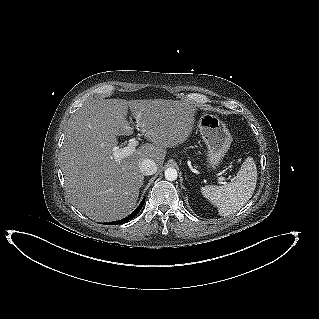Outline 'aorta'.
<instances>
[{
    "label": "aorta",
    "mask_w": 319,
    "mask_h": 319,
    "mask_svg": "<svg viewBox=\"0 0 319 319\" xmlns=\"http://www.w3.org/2000/svg\"><path fill=\"white\" fill-rule=\"evenodd\" d=\"M164 173L168 181H175L178 178L177 170L174 168H167Z\"/></svg>",
    "instance_id": "1"
}]
</instances>
